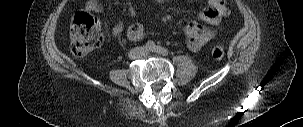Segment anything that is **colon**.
Wrapping results in <instances>:
<instances>
[{"instance_id":"5ec220e1","label":"colon","mask_w":303,"mask_h":127,"mask_svg":"<svg viewBox=\"0 0 303 127\" xmlns=\"http://www.w3.org/2000/svg\"><path fill=\"white\" fill-rule=\"evenodd\" d=\"M103 39L100 23L97 18L87 11L75 14L71 24V44L75 54L86 55L98 48ZM211 57L221 60L224 50L221 47L211 49Z\"/></svg>"}]
</instances>
